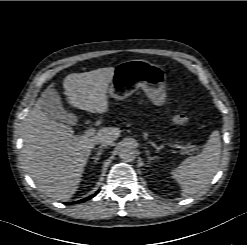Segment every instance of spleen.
<instances>
[{"label": "spleen", "mask_w": 247, "mask_h": 245, "mask_svg": "<svg viewBox=\"0 0 247 245\" xmlns=\"http://www.w3.org/2000/svg\"><path fill=\"white\" fill-rule=\"evenodd\" d=\"M220 157L219 131H213L200 154L188 157L171 172L182 187V195H193L207 187L217 172Z\"/></svg>", "instance_id": "spleen-1"}]
</instances>
